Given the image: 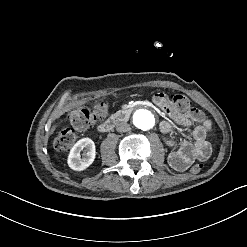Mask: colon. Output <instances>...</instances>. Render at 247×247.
<instances>
[{"mask_svg": "<svg viewBox=\"0 0 247 247\" xmlns=\"http://www.w3.org/2000/svg\"><path fill=\"white\" fill-rule=\"evenodd\" d=\"M170 101L178 109H185L190 104L189 97L185 93L172 95ZM102 110L103 106H97L92 111L80 106L75 111L69 113L67 119L72 126L58 131L54 140V149L57 152L69 151L77 139L78 131L94 125L100 119ZM201 168L202 164L196 163L190 168V171L197 173Z\"/></svg>", "mask_w": 247, "mask_h": 247, "instance_id": "colon-1", "label": "colon"}]
</instances>
